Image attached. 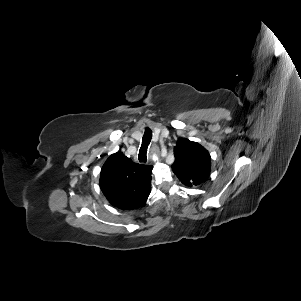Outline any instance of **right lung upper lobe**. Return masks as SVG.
Returning <instances> with one entry per match:
<instances>
[{"instance_id": "right-lung-upper-lobe-1", "label": "right lung upper lobe", "mask_w": 301, "mask_h": 301, "mask_svg": "<svg viewBox=\"0 0 301 301\" xmlns=\"http://www.w3.org/2000/svg\"><path fill=\"white\" fill-rule=\"evenodd\" d=\"M152 168L134 163L122 152H117L101 169L100 188L113 206L122 210L136 209L150 194Z\"/></svg>"}]
</instances>
